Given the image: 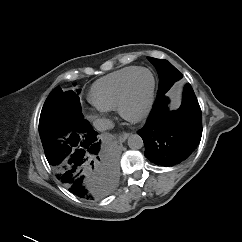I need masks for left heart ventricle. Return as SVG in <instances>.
Listing matches in <instances>:
<instances>
[{"instance_id":"left-heart-ventricle-1","label":"left heart ventricle","mask_w":242,"mask_h":242,"mask_svg":"<svg viewBox=\"0 0 242 242\" xmlns=\"http://www.w3.org/2000/svg\"><path fill=\"white\" fill-rule=\"evenodd\" d=\"M151 84L152 78L148 72H140L135 77L127 103L129 113L136 114L142 110L147 100Z\"/></svg>"}]
</instances>
